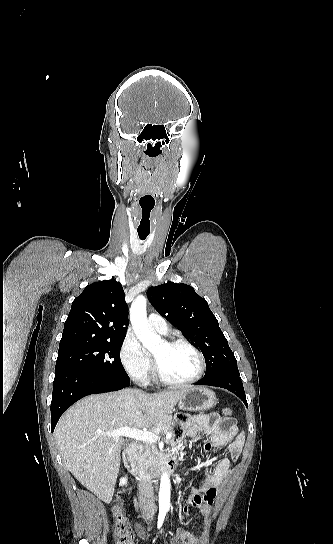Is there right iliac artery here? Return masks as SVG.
I'll list each match as a JSON object with an SVG mask.
<instances>
[{
	"label": "right iliac artery",
	"mask_w": 333,
	"mask_h": 544,
	"mask_svg": "<svg viewBox=\"0 0 333 544\" xmlns=\"http://www.w3.org/2000/svg\"><path fill=\"white\" fill-rule=\"evenodd\" d=\"M164 518H165V513L164 512H160L159 513V516H158V529L161 528L162 524H163V521H164Z\"/></svg>",
	"instance_id": "right-iliac-artery-1"
}]
</instances>
